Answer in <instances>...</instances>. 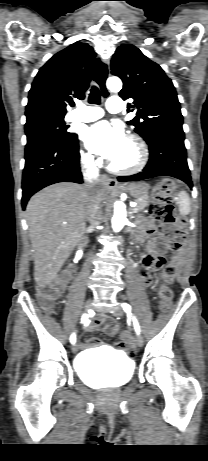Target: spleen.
I'll list each match as a JSON object with an SVG mask.
<instances>
[{
    "mask_svg": "<svg viewBox=\"0 0 208 461\" xmlns=\"http://www.w3.org/2000/svg\"><path fill=\"white\" fill-rule=\"evenodd\" d=\"M177 203H178L179 212H180L181 215L185 216V215H188L190 213V210H191L190 204H191V202H190V198H189L188 194L185 191H181L178 194Z\"/></svg>",
    "mask_w": 208,
    "mask_h": 461,
    "instance_id": "3e777b00",
    "label": "spleen"
}]
</instances>
